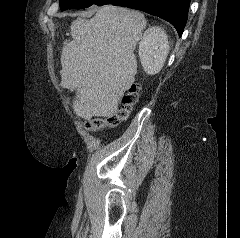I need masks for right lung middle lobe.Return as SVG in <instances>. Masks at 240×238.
Returning <instances> with one entry per match:
<instances>
[{
    "instance_id": "right-lung-middle-lobe-1",
    "label": "right lung middle lobe",
    "mask_w": 240,
    "mask_h": 238,
    "mask_svg": "<svg viewBox=\"0 0 240 238\" xmlns=\"http://www.w3.org/2000/svg\"><path fill=\"white\" fill-rule=\"evenodd\" d=\"M112 2V0H59L60 9L67 10L72 8H86L91 5L102 6Z\"/></svg>"
}]
</instances>
